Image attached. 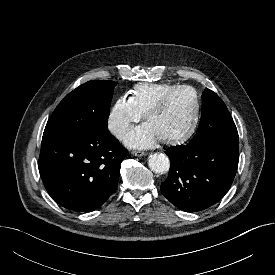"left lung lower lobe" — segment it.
<instances>
[{
    "label": "left lung lower lobe",
    "instance_id": "1",
    "mask_svg": "<svg viewBox=\"0 0 275 275\" xmlns=\"http://www.w3.org/2000/svg\"><path fill=\"white\" fill-rule=\"evenodd\" d=\"M171 165L162 194L176 207L197 212L219 202L230 189L238 161V142H189L166 149Z\"/></svg>",
    "mask_w": 275,
    "mask_h": 275
}]
</instances>
